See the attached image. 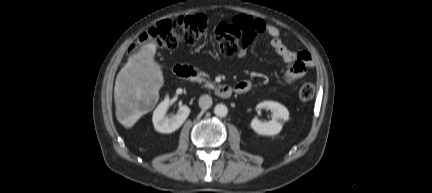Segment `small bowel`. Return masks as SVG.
Wrapping results in <instances>:
<instances>
[{
	"mask_svg": "<svg viewBox=\"0 0 432 193\" xmlns=\"http://www.w3.org/2000/svg\"><path fill=\"white\" fill-rule=\"evenodd\" d=\"M234 23L243 24L250 28L253 35L268 34L271 37L270 45L275 53L287 64L289 68L284 77L285 84H292L302 78L309 69L313 68L314 62L307 51H292L289 49L280 37V30L261 19H255L246 15H240L233 19ZM245 55L243 49L239 57ZM252 84L248 80H243L235 85V92L242 94L248 92Z\"/></svg>",
	"mask_w": 432,
	"mask_h": 193,
	"instance_id": "small-bowel-1",
	"label": "small bowel"
}]
</instances>
